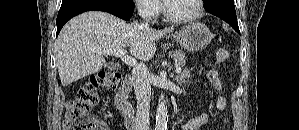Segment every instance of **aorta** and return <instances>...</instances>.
Listing matches in <instances>:
<instances>
[{"mask_svg":"<svg viewBox=\"0 0 299 130\" xmlns=\"http://www.w3.org/2000/svg\"><path fill=\"white\" fill-rule=\"evenodd\" d=\"M167 128V106L164 95L161 94L156 112L155 130H166Z\"/></svg>","mask_w":299,"mask_h":130,"instance_id":"1","label":"aorta"}]
</instances>
